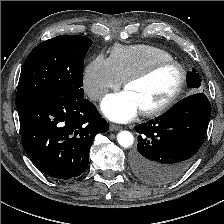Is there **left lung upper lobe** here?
Returning <instances> with one entry per match:
<instances>
[{
    "label": "left lung upper lobe",
    "instance_id": "1",
    "mask_svg": "<svg viewBox=\"0 0 224 224\" xmlns=\"http://www.w3.org/2000/svg\"><path fill=\"white\" fill-rule=\"evenodd\" d=\"M187 85L192 89L193 93L200 91V77L196 73V69L193 68L191 72L187 73Z\"/></svg>",
    "mask_w": 224,
    "mask_h": 224
}]
</instances>
